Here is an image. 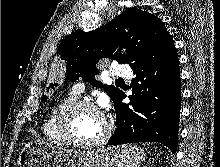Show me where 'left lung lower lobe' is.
Masks as SVG:
<instances>
[{
	"mask_svg": "<svg viewBox=\"0 0 220 167\" xmlns=\"http://www.w3.org/2000/svg\"><path fill=\"white\" fill-rule=\"evenodd\" d=\"M133 94L129 104L122 100L124 92L115 101L116 124L108 145L133 142H160L176 153L181 105L179 60L174 48L151 63L132 68Z\"/></svg>",
	"mask_w": 220,
	"mask_h": 167,
	"instance_id": "left-lung-lower-lobe-1",
	"label": "left lung lower lobe"
}]
</instances>
